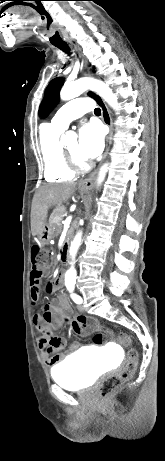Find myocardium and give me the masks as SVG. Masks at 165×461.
<instances>
[{
  "label": "myocardium",
  "instance_id": "myocardium-1",
  "mask_svg": "<svg viewBox=\"0 0 165 461\" xmlns=\"http://www.w3.org/2000/svg\"><path fill=\"white\" fill-rule=\"evenodd\" d=\"M62 152L64 155L67 166L76 173L85 172L89 168V163L84 159L81 160L75 157L65 146H62Z\"/></svg>",
  "mask_w": 165,
  "mask_h": 461
}]
</instances>
